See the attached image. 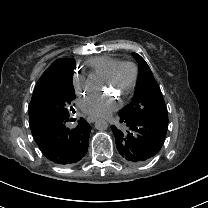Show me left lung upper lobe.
I'll use <instances>...</instances> for the list:
<instances>
[{"label":"left lung upper lobe","instance_id":"obj_1","mask_svg":"<svg viewBox=\"0 0 208 208\" xmlns=\"http://www.w3.org/2000/svg\"><path fill=\"white\" fill-rule=\"evenodd\" d=\"M133 56L141 67L140 85L136 90L133 102L124 107L121 112L154 121L168 128V115L161 90L154 79L146 61L137 53Z\"/></svg>","mask_w":208,"mask_h":208}]
</instances>
